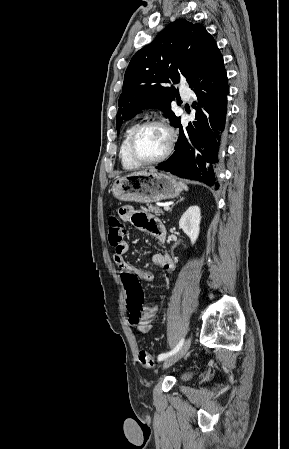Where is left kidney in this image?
<instances>
[{"label":"left kidney","mask_w":289,"mask_h":449,"mask_svg":"<svg viewBox=\"0 0 289 449\" xmlns=\"http://www.w3.org/2000/svg\"><path fill=\"white\" fill-rule=\"evenodd\" d=\"M201 212L198 206H190L179 220V227L195 244L200 231Z\"/></svg>","instance_id":"obj_1"}]
</instances>
